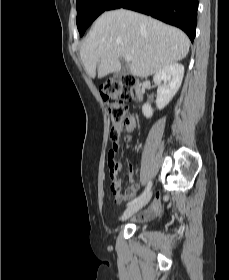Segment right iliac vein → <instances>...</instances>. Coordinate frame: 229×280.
Wrapping results in <instances>:
<instances>
[{"label":"right iliac vein","mask_w":229,"mask_h":280,"mask_svg":"<svg viewBox=\"0 0 229 280\" xmlns=\"http://www.w3.org/2000/svg\"><path fill=\"white\" fill-rule=\"evenodd\" d=\"M151 192H149L144 198L136 202L135 204L129 206L122 214L121 221H125L129 217H131L134 213L138 212L142 209L150 200Z\"/></svg>","instance_id":"1"}]
</instances>
